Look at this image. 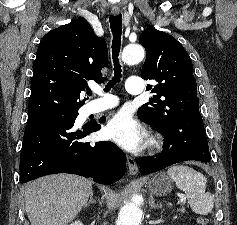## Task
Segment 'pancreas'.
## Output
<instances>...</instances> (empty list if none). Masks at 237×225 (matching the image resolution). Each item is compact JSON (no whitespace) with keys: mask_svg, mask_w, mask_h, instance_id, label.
<instances>
[{"mask_svg":"<svg viewBox=\"0 0 237 225\" xmlns=\"http://www.w3.org/2000/svg\"><path fill=\"white\" fill-rule=\"evenodd\" d=\"M179 211H181V212H184V211H185V209H184V208H181Z\"/></svg>","mask_w":237,"mask_h":225,"instance_id":"cf45deb5","label":"pancreas"}]
</instances>
